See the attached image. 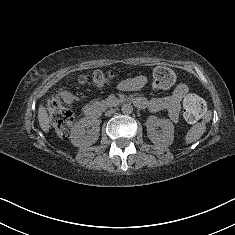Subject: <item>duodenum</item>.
Here are the masks:
<instances>
[{"mask_svg": "<svg viewBox=\"0 0 235 235\" xmlns=\"http://www.w3.org/2000/svg\"><path fill=\"white\" fill-rule=\"evenodd\" d=\"M88 118H97L100 115V109L95 105H89L85 109Z\"/></svg>", "mask_w": 235, "mask_h": 235, "instance_id": "duodenum-1", "label": "duodenum"}]
</instances>
